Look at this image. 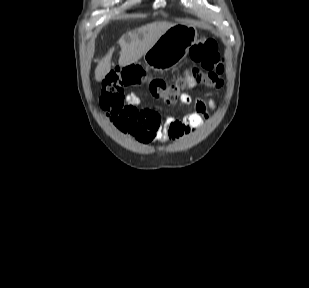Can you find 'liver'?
<instances>
[{"label": "liver", "mask_w": 309, "mask_h": 288, "mask_svg": "<svg viewBox=\"0 0 309 288\" xmlns=\"http://www.w3.org/2000/svg\"><path fill=\"white\" fill-rule=\"evenodd\" d=\"M174 25L170 22L157 21L123 35L119 40L121 47L119 65L123 67L137 62L158 38ZM112 53L113 48L98 63L95 69L96 81H102L110 72Z\"/></svg>", "instance_id": "liver-1"}]
</instances>
